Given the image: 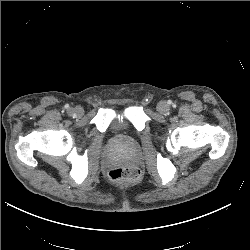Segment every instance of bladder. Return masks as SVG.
I'll list each match as a JSON object with an SVG mask.
<instances>
[{
	"instance_id": "bladder-1",
	"label": "bladder",
	"mask_w": 250,
	"mask_h": 250,
	"mask_svg": "<svg viewBox=\"0 0 250 250\" xmlns=\"http://www.w3.org/2000/svg\"><path fill=\"white\" fill-rule=\"evenodd\" d=\"M125 124V119L121 116L115 117L113 121L111 122V126L114 128L121 127Z\"/></svg>"
}]
</instances>
